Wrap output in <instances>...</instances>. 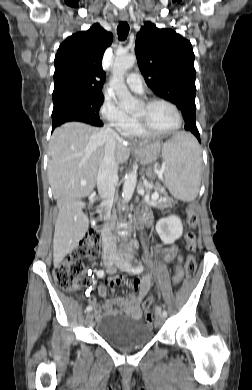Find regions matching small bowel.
Returning <instances> with one entry per match:
<instances>
[{"label": "small bowel", "instance_id": "1", "mask_svg": "<svg viewBox=\"0 0 252 390\" xmlns=\"http://www.w3.org/2000/svg\"><path fill=\"white\" fill-rule=\"evenodd\" d=\"M142 217L147 225L151 224V216L149 211L143 207ZM156 255H158L163 261L170 262L175 261L176 263L181 262V256L178 253L176 247H170L166 250H161L160 247L155 249ZM182 278V272L178 269L173 277V282L176 284ZM123 277L118 275L112 279H109L105 283L98 287V293L103 299L106 298L108 289L113 290L115 284L123 282ZM137 287V294H127L122 297H116L112 299H105L101 306L96 302L95 297L89 296V304L95 310V318L100 320L104 316L111 315H125L134 320H140L144 316L150 313V306L141 305L143 299L148 294L151 287V274L143 276L134 282Z\"/></svg>", "mask_w": 252, "mask_h": 390}]
</instances>
